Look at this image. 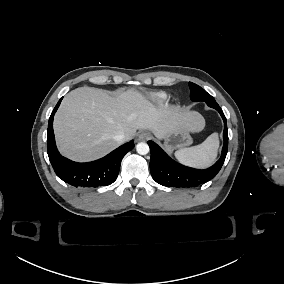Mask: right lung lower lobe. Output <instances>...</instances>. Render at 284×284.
Listing matches in <instances>:
<instances>
[{"label":"right lung lower lobe","mask_w":284,"mask_h":284,"mask_svg":"<svg viewBox=\"0 0 284 284\" xmlns=\"http://www.w3.org/2000/svg\"><path fill=\"white\" fill-rule=\"evenodd\" d=\"M61 100L62 98L57 103L49 118L47 131V152L56 175L75 187L95 188L110 185L118 176L123 157L133 149V141L120 146L105 157L92 162L77 163L61 156L57 150L53 132V118Z\"/></svg>","instance_id":"1"}]
</instances>
